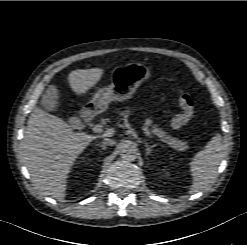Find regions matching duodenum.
I'll use <instances>...</instances> for the list:
<instances>
[{"label": "duodenum", "mask_w": 247, "mask_h": 245, "mask_svg": "<svg viewBox=\"0 0 247 245\" xmlns=\"http://www.w3.org/2000/svg\"><path fill=\"white\" fill-rule=\"evenodd\" d=\"M93 117H94V110L91 108L84 109L81 113V118L85 123L91 122Z\"/></svg>", "instance_id": "obj_1"}]
</instances>
